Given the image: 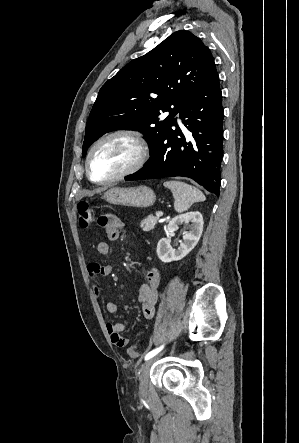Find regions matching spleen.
I'll return each mask as SVG.
<instances>
[{
  "mask_svg": "<svg viewBox=\"0 0 299 443\" xmlns=\"http://www.w3.org/2000/svg\"><path fill=\"white\" fill-rule=\"evenodd\" d=\"M163 185L171 190L175 199L174 208L178 213L188 210L195 202L206 200L204 194L199 189L187 183L166 181Z\"/></svg>",
  "mask_w": 299,
  "mask_h": 443,
  "instance_id": "3e777b00",
  "label": "spleen"
}]
</instances>
